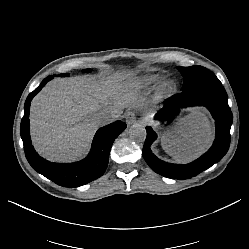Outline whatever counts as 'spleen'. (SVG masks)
<instances>
[{
    "label": "spleen",
    "instance_id": "spleen-1",
    "mask_svg": "<svg viewBox=\"0 0 249 249\" xmlns=\"http://www.w3.org/2000/svg\"><path fill=\"white\" fill-rule=\"evenodd\" d=\"M163 149H165V151H166L169 155H171L170 150H169L166 146H163Z\"/></svg>",
    "mask_w": 249,
    "mask_h": 249
}]
</instances>
